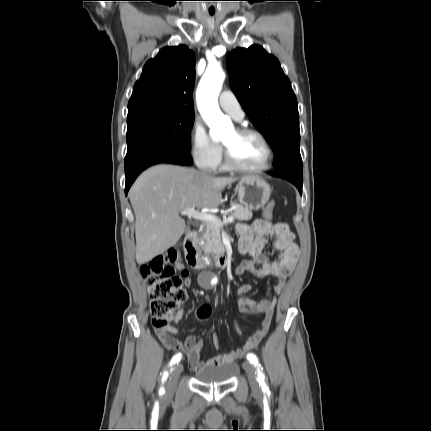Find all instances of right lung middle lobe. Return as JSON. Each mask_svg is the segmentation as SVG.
<instances>
[{
    "label": "right lung middle lobe",
    "instance_id": "1",
    "mask_svg": "<svg viewBox=\"0 0 431 431\" xmlns=\"http://www.w3.org/2000/svg\"><path fill=\"white\" fill-rule=\"evenodd\" d=\"M194 114L153 112L127 118L128 148L148 139H162L190 153Z\"/></svg>",
    "mask_w": 431,
    "mask_h": 431
}]
</instances>
